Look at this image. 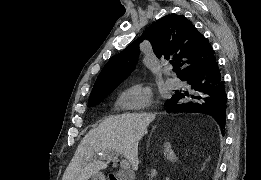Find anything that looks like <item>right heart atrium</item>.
Wrapping results in <instances>:
<instances>
[{
    "instance_id": "right-heart-atrium-1",
    "label": "right heart atrium",
    "mask_w": 261,
    "mask_h": 180,
    "mask_svg": "<svg viewBox=\"0 0 261 180\" xmlns=\"http://www.w3.org/2000/svg\"><path fill=\"white\" fill-rule=\"evenodd\" d=\"M117 103L122 108H150L153 94L147 87L134 85L118 95Z\"/></svg>"
}]
</instances>
